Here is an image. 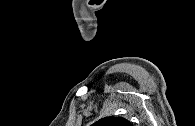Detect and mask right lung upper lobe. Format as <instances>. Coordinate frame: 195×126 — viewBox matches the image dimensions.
<instances>
[{
    "label": "right lung upper lobe",
    "mask_w": 195,
    "mask_h": 126,
    "mask_svg": "<svg viewBox=\"0 0 195 126\" xmlns=\"http://www.w3.org/2000/svg\"><path fill=\"white\" fill-rule=\"evenodd\" d=\"M92 126H132L126 119L121 117H105L92 124Z\"/></svg>",
    "instance_id": "1"
}]
</instances>
